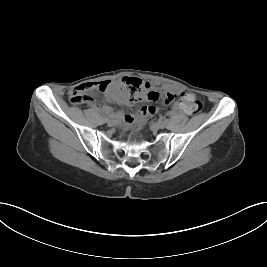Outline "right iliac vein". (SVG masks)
Wrapping results in <instances>:
<instances>
[{
	"label": "right iliac vein",
	"instance_id": "right-iliac-vein-1",
	"mask_svg": "<svg viewBox=\"0 0 267 267\" xmlns=\"http://www.w3.org/2000/svg\"><path fill=\"white\" fill-rule=\"evenodd\" d=\"M105 122L109 123V124H113L114 121L112 119L106 118L104 119Z\"/></svg>",
	"mask_w": 267,
	"mask_h": 267
}]
</instances>
